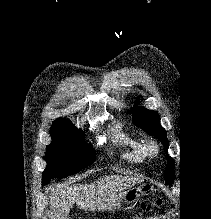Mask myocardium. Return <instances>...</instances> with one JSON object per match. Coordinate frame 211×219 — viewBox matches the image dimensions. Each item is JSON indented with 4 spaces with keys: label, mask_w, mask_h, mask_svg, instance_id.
<instances>
[{
    "label": "myocardium",
    "mask_w": 211,
    "mask_h": 219,
    "mask_svg": "<svg viewBox=\"0 0 211 219\" xmlns=\"http://www.w3.org/2000/svg\"><path fill=\"white\" fill-rule=\"evenodd\" d=\"M144 155L149 158H155L159 154V145L155 140L148 139L142 143Z\"/></svg>",
    "instance_id": "obj_1"
}]
</instances>
